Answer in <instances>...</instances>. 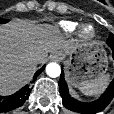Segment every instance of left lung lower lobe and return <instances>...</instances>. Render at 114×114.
Instances as JSON below:
<instances>
[{"label":"left lung lower lobe","mask_w":114,"mask_h":114,"mask_svg":"<svg viewBox=\"0 0 114 114\" xmlns=\"http://www.w3.org/2000/svg\"><path fill=\"white\" fill-rule=\"evenodd\" d=\"M108 45L111 47L113 51L112 56L114 58V43L112 42L111 44ZM59 89H60V95L62 97V103L67 109L82 114H95L97 112L104 110L113 99L114 80L110 83L107 90L101 95V97L92 103L79 102L70 96L67 84L64 79L63 71L61 73L59 80Z\"/></svg>","instance_id":"left-lung-lower-lobe-1"}]
</instances>
